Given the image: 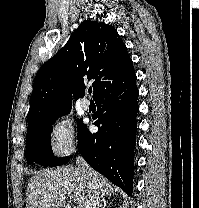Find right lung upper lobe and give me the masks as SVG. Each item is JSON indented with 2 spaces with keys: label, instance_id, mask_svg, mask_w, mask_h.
<instances>
[{
  "label": "right lung upper lobe",
  "instance_id": "1",
  "mask_svg": "<svg viewBox=\"0 0 199 208\" xmlns=\"http://www.w3.org/2000/svg\"><path fill=\"white\" fill-rule=\"evenodd\" d=\"M133 74V62L117 30L102 22H82L36 74L27 131L70 112L72 96L78 99L87 81L94 80L95 99Z\"/></svg>",
  "mask_w": 199,
  "mask_h": 208
}]
</instances>
